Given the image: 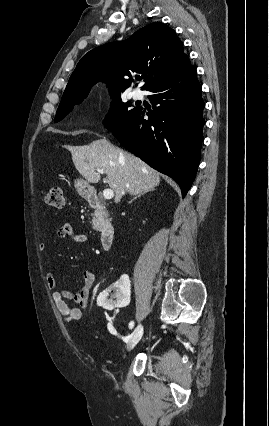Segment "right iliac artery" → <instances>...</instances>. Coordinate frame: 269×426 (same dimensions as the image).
I'll return each instance as SVG.
<instances>
[{
    "label": "right iliac artery",
    "instance_id": "obj_1",
    "mask_svg": "<svg viewBox=\"0 0 269 426\" xmlns=\"http://www.w3.org/2000/svg\"><path fill=\"white\" fill-rule=\"evenodd\" d=\"M134 327V322L133 321H131L130 323H129V328L130 329H132Z\"/></svg>",
    "mask_w": 269,
    "mask_h": 426
}]
</instances>
